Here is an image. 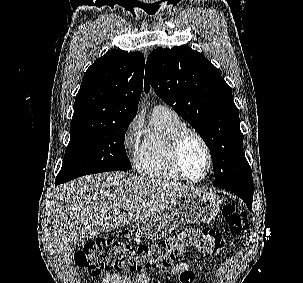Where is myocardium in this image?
<instances>
[{
  "mask_svg": "<svg viewBox=\"0 0 303 283\" xmlns=\"http://www.w3.org/2000/svg\"><path fill=\"white\" fill-rule=\"evenodd\" d=\"M193 136L195 137L202 145V147L205 150L206 156H207V169L204 173V175L198 179L191 178L183 165L182 161V149L185 140L189 137ZM171 153H172V159L174 162V165L178 172L181 174V176L192 183H198L203 181L211 172L212 166H213V156L211 149L209 147V144L207 143L206 139L195 129L184 127L178 133L174 136L171 146Z\"/></svg>",
  "mask_w": 303,
  "mask_h": 283,
  "instance_id": "obj_1",
  "label": "myocardium"
}]
</instances>
